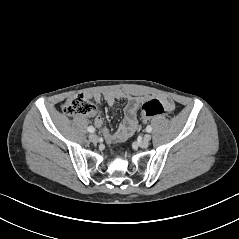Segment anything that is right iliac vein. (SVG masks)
<instances>
[{
  "label": "right iliac vein",
  "instance_id": "right-iliac-vein-1",
  "mask_svg": "<svg viewBox=\"0 0 239 239\" xmlns=\"http://www.w3.org/2000/svg\"><path fill=\"white\" fill-rule=\"evenodd\" d=\"M89 140L91 141V142H97L98 141V136L96 135V134H90L89 135Z\"/></svg>",
  "mask_w": 239,
  "mask_h": 239
}]
</instances>
